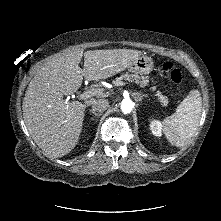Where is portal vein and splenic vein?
I'll list each match as a JSON object with an SVG mask.
<instances>
[{"label":"portal vein and splenic vein","instance_id":"portal-vein-and-splenic-vein-1","mask_svg":"<svg viewBox=\"0 0 221 221\" xmlns=\"http://www.w3.org/2000/svg\"><path fill=\"white\" fill-rule=\"evenodd\" d=\"M116 85H120V86H125L126 83L125 82H118L116 83ZM94 90L95 89H91V90H87L85 91L84 93H82L80 96H79V99L80 100H87L88 98H90V96L94 93Z\"/></svg>","mask_w":221,"mask_h":221}]
</instances>
